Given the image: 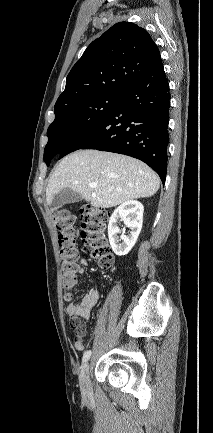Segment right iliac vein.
<instances>
[{
  "label": "right iliac vein",
  "mask_w": 213,
  "mask_h": 433,
  "mask_svg": "<svg viewBox=\"0 0 213 433\" xmlns=\"http://www.w3.org/2000/svg\"><path fill=\"white\" fill-rule=\"evenodd\" d=\"M89 371H90L89 363H85L82 367L80 377H79L80 389L82 395L85 398H90L92 396V387L90 382Z\"/></svg>",
  "instance_id": "63e3f726"
}]
</instances>
